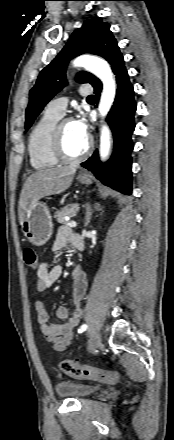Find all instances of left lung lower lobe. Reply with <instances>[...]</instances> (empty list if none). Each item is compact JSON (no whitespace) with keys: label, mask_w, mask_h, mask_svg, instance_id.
<instances>
[{"label":"left lung lower lobe","mask_w":174,"mask_h":440,"mask_svg":"<svg viewBox=\"0 0 174 440\" xmlns=\"http://www.w3.org/2000/svg\"><path fill=\"white\" fill-rule=\"evenodd\" d=\"M109 63L118 84L114 105L106 119L114 134V152L108 163L101 164L98 151H95L92 157L81 165L92 171L103 184L130 195L132 191L130 153L133 150L131 134L135 128L136 103L122 54L115 55ZM93 87L95 94L99 96L102 89L100 80Z\"/></svg>","instance_id":"1"}]
</instances>
